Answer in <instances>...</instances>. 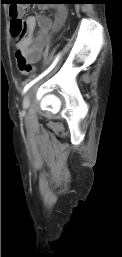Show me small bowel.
I'll return each mask as SVG.
<instances>
[{"label": "small bowel", "instance_id": "c3829d8e", "mask_svg": "<svg viewBox=\"0 0 122 257\" xmlns=\"http://www.w3.org/2000/svg\"><path fill=\"white\" fill-rule=\"evenodd\" d=\"M20 13L22 10H19ZM66 11L63 8L57 9L55 20L45 15L28 16L26 18V29L24 35L15 42V47L29 62H36L40 59L44 49L49 42V33L57 29L65 18ZM36 27H39L37 36H34Z\"/></svg>", "mask_w": 122, "mask_h": 257}]
</instances>
